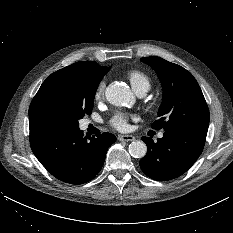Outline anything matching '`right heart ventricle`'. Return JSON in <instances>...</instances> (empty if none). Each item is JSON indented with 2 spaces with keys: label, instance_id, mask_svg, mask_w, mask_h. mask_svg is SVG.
Listing matches in <instances>:
<instances>
[{
  "label": "right heart ventricle",
  "instance_id": "1",
  "mask_svg": "<svg viewBox=\"0 0 233 233\" xmlns=\"http://www.w3.org/2000/svg\"><path fill=\"white\" fill-rule=\"evenodd\" d=\"M128 80L130 81L133 89L135 91L139 89H149L150 88V80L146 74L141 71L133 70L128 73Z\"/></svg>",
  "mask_w": 233,
  "mask_h": 233
}]
</instances>
